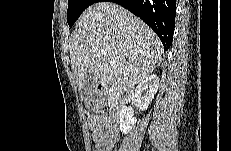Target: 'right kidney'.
I'll use <instances>...</instances> for the list:
<instances>
[{
    "label": "right kidney",
    "mask_w": 231,
    "mask_h": 151,
    "mask_svg": "<svg viewBox=\"0 0 231 151\" xmlns=\"http://www.w3.org/2000/svg\"><path fill=\"white\" fill-rule=\"evenodd\" d=\"M159 88V78L156 75H149L142 80L135 88L134 101L141 111L148 109L149 104L153 100ZM137 122L133 113L127 107H123L120 113V131L127 134L132 130L134 124Z\"/></svg>",
    "instance_id": "ca27d5eb"
}]
</instances>
